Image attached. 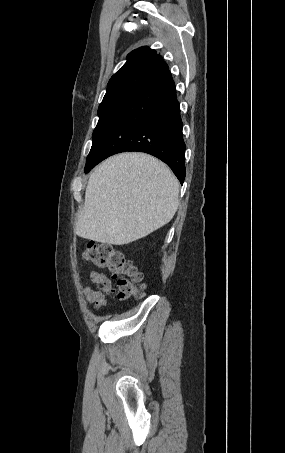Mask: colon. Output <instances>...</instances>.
Returning a JSON list of instances; mask_svg holds the SVG:
<instances>
[{"label":"colon","mask_w":285,"mask_h":453,"mask_svg":"<svg viewBox=\"0 0 285 453\" xmlns=\"http://www.w3.org/2000/svg\"><path fill=\"white\" fill-rule=\"evenodd\" d=\"M84 259L113 274L120 299L142 296L143 275L121 251L106 244L90 242L84 251Z\"/></svg>","instance_id":"colon-1"}]
</instances>
